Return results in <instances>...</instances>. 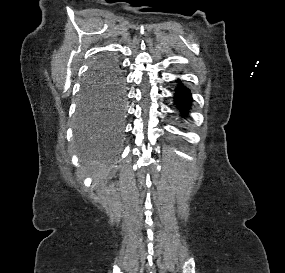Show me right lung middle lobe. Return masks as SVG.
Instances as JSON below:
<instances>
[{
  "label": "right lung middle lobe",
  "instance_id": "dd1d6c3e",
  "mask_svg": "<svg viewBox=\"0 0 285 273\" xmlns=\"http://www.w3.org/2000/svg\"><path fill=\"white\" fill-rule=\"evenodd\" d=\"M117 71L115 62L105 56L99 57L92 64L81 87L78 106L80 130L88 132L93 129L91 119L108 96L116 97L113 113L116 118L121 117L118 98L122 79Z\"/></svg>",
  "mask_w": 285,
  "mask_h": 273
}]
</instances>
